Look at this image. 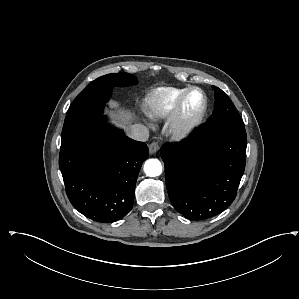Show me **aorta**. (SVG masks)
Listing matches in <instances>:
<instances>
[{
  "mask_svg": "<svg viewBox=\"0 0 299 299\" xmlns=\"http://www.w3.org/2000/svg\"><path fill=\"white\" fill-rule=\"evenodd\" d=\"M144 172L149 177H157L162 173V165L158 159H149L144 164Z\"/></svg>",
  "mask_w": 299,
  "mask_h": 299,
  "instance_id": "aorta-1",
  "label": "aorta"
}]
</instances>
